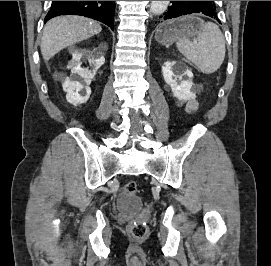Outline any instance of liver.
<instances>
[{
  "label": "liver",
  "mask_w": 271,
  "mask_h": 266,
  "mask_svg": "<svg viewBox=\"0 0 271 266\" xmlns=\"http://www.w3.org/2000/svg\"><path fill=\"white\" fill-rule=\"evenodd\" d=\"M99 23L82 16H59L50 20L41 41V53L49 60L62 49L100 33Z\"/></svg>",
  "instance_id": "obj_1"
}]
</instances>
